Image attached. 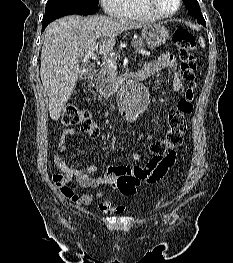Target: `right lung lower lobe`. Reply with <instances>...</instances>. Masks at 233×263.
<instances>
[{
	"mask_svg": "<svg viewBox=\"0 0 233 263\" xmlns=\"http://www.w3.org/2000/svg\"><path fill=\"white\" fill-rule=\"evenodd\" d=\"M88 15V14H86ZM50 22H46V21H43L42 23V31L46 28V26L49 24Z\"/></svg>",
	"mask_w": 233,
	"mask_h": 263,
	"instance_id": "98d812e1",
	"label": "right lung lower lobe"
}]
</instances>
